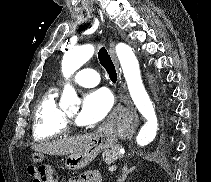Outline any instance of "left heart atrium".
<instances>
[{
    "mask_svg": "<svg viewBox=\"0 0 211 182\" xmlns=\"http://www.w3.org/2000/svg\"><path fill=\"white\" fill-rule=\"evenodd\" d=\"M113 99L110 92L100 88L85 94L77 117L80 125H94L103 120L110 111Z\"/></svg>",
    "mask_w": 211,
    "mask_h": 182,
    "instance_id": "left-heart-atrium-1",
    "label": "left heart atrium"
}]
</instances>
